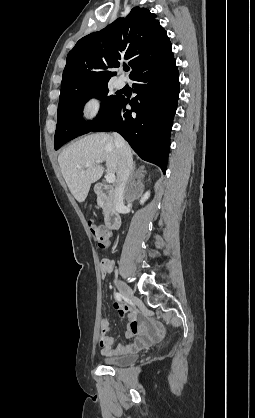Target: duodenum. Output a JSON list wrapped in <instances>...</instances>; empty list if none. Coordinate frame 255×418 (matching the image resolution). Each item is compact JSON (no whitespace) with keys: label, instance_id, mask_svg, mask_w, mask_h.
<instances>
[{"label":"duodenum","instance_id":"1","mask_svg":"<svg viewBox=\"0 0 255 418\" xmlns=\"http://www.w3.org/2000/svg\"><path fill=\"white\" fill-rule=\"evenodd\" d=\"M96 194L104 201L106 210V227L116 230L121 225L120 204L112 186L98 183L95 186Z\"/></svg>","mask_w":255,"mask_h":418}]
</instances>
